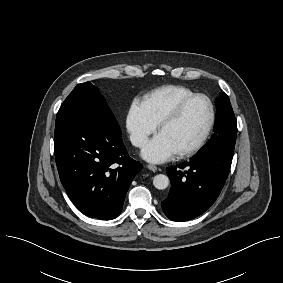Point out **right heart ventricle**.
<instances>
[{
  "label": "right heart ventricle",
  "mask_w": 283,
  "mask_h": 283,
  "mask_svg": "<svg viewBox=\"0 0 283 283\" xmlns=\"http://www.w3.org/2000/svg\"><path fill=\"white\" fill-rule=\"evenodd\" d=\"M195 94L187 87L166 85L146 95L143 104L149 117L159 124L185 98Z\"/></svg>",
  "instance_id": "1"
}]
</instances>
